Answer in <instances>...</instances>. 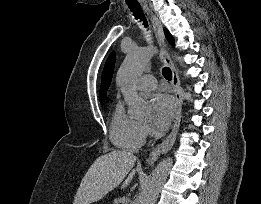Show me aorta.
I'll return each mask as SVG.
<instances>
[{
  "instance_id": "aorta-1",
  "label": "aorta",
  "mask_w": 261,
  "mask_h": 204,
  "mask_svg": "<svg viewBox=\"0 0 261 204\" xmlns=\"http://www.w3.org/2000/svg\"><path fill=\"white\" fill-rule=\"evenodd\" d=\"M156 51L155 47L133 49L128 52L118 70L117 83L121 88L129 108L128 113L132 118H144L150 114L149 102L137 93L135 84ZM174 57L176 61L182 64L181 57ZM172 164V159L168 158L160 162L153 170L144 186L141 204H155L159 192L169 175Z\"/></svg>"
}]
</instances>
